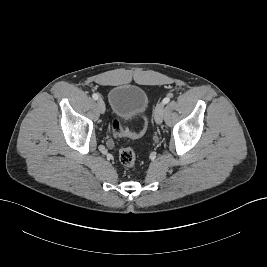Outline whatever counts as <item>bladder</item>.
Instances as JSON below:
<instances>
[{"label": "bladder", "instance_id": "bladder-1", "mask_svg": "<svg viewBox=\"0 0 267 267\" xmlns=\"http://www.w3.org/2000/svg\"><path fill=\"white\" fill-rule=\"evenodd\" d=\"M108 102L112 114L124 120H132L142 115L149 107L146 91L131 84H121L111 88Z\"/></svg>", "mask_w": 267, "mask_h": 267}]
</instances>
